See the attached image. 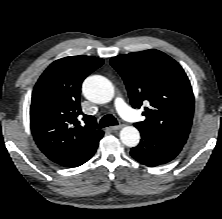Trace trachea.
<instances>
[{
  "instance_id": "3493384b",
  "label": "trachea",
  "mask_w": 222,
  "mask_h": 219,
  "mask_svg": "<svg viewBox=\"0 0 222 219\" xmlns=\"http://www.w3.org/2000/svg\"><path fill=\"white\" fill-rule=\"evenodd\" d=\"M118 125L116 118L112 114H107L100 120L99 128H105L108 126Z\"/></svg>"
}]
</instances>
